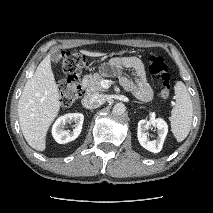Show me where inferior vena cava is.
Wrapping results in <instances>:
<instances>
[{
	"instance_id": "602c4592",
	"label": "inferior vena cava",
	"mask_w": 213,
	"mask_h": 213,
	"mask_svg": "<svg viewBox=\"0 0 213 213\" xmlns=\"http://www.w3.org/2000/svg\"><path fill=\"white\" fill-rule=\"evenodd\" d=\"M106 98L101 94H89L82 99V105L87 109H95L104 104Z\"/></svg>"
}]
</instances>
